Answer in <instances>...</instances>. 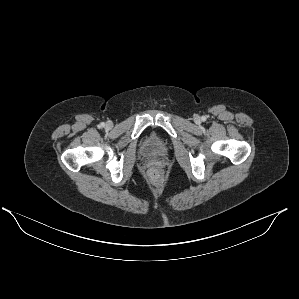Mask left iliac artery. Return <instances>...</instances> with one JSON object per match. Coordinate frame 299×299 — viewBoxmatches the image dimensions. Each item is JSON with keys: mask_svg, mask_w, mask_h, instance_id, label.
Masks as SVG:
<instances>
[{"mask_svg": "<svg viewBox=\"0 0 299 299\" xmlns=\"http://www.w3.org/2000/svg\"><path fill=\"white\" fill-rule=\"evenodd\" d=\"M205 120H206V118L203 116V117H202V121H205Z\"/></svg>", "mask_w": 299, "mask_h": 299, "instance_id": "left-iliac-artery-1", "label": "left iliac artery"}]
</instances>
